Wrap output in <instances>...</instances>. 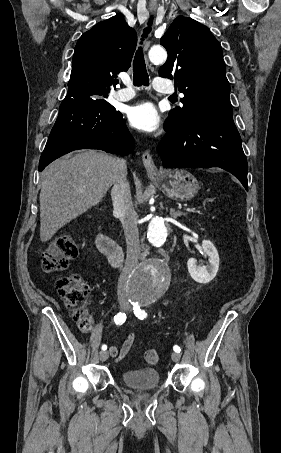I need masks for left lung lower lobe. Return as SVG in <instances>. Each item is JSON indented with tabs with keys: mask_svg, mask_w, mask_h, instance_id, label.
<instances>
[{
	"mask_svg": "<svg viewBox=\"0 0 281 453\" xmlns=\"http://www.w3.org/2000/svg\"><path fill=\"white\" fill-rule=\"evenodd\" d=\"M157 150L164 167H220L248 190L247 160L232 112L196 116L166 130Z\"/></svg>",
	"mask_w": 281,
	"mask_h": 453,
	"instance_id": "0a47b994",
	"label": "left lung lower lobe"
}]
</instances>
